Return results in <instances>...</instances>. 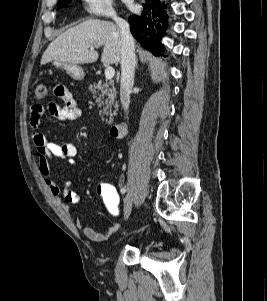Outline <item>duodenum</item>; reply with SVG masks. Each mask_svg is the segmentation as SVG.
I'll list each match as a JSON object with an SVG mask.
<instances>
[{"instance_id": "1", "label": "duodenum", "mask_w": 267, "mask_h": 301, "mask_svg": "<svg viewBox=\"0 0 267 301\" xmlns=\"http://www.w3.org/2000/svg\"><path fill=\"white\" fill-rule=\"evenodd\" d=\"M125 127L126 126H125V123L123 121L112 125L111 128H110V135L113 138H118V137L122 136V134L125 131Z\"/></svg>"}]
</instances>
